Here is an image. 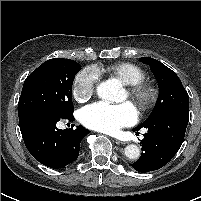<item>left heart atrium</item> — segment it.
<instances>
[{
	"mask_svg": "<svg viewBox=\"0 0 201 201\" xmlns=\"http://www.w3.org/2000/svg\"><path fill=\"white\" fill-rule=\"evenodd\" d=\"M80 118L90 129L114 134L123 127L133 125L137 121L138 113L130 102L122 104L97 102L83 108Z\"/></svg>",
	"mask_w": 201,
	"mask_h": 201,
	"instance_id": "left-heart-atrium-1",
	"label": "left heart atrium"
}]
</instances>
